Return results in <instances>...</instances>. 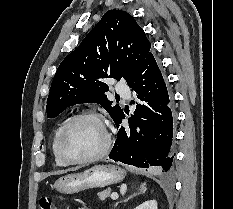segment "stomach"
I'll return each mask as SVG.
<instances>
[{"instance_id": "0dacf381", "label": "stomach", "mask_w": 233, "mask_h": 209, "mask_svg": "<svg viewBox=\"0 0 233 209\" xmlns=\"http://www.w3.org/2000/svg\"><path fill=\"white\" fill-rule=\"evenodd\" d=\"M126 172L114 165H95L82 172L71 173L60 177L54 184V188L60 193L74 194L91 188H103L105 186L121 182Z\"/></svg>"}]
</instances>
